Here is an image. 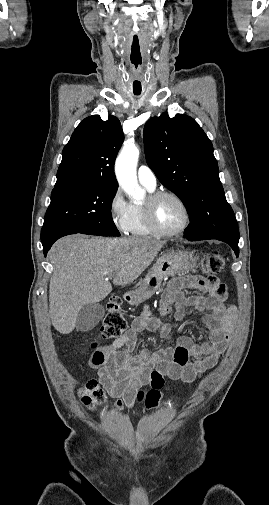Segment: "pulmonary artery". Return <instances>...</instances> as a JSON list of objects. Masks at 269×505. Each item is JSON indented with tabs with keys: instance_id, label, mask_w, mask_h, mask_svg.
I'll list each match as a JSON object with an SVG mask.
<instances>
[{
	"instance_id": "pulmonary-artery-1",
	"label": "pulmonary artery",
	"mask_w": 269,
	"mask_h": 505,
	"mask_svg": "<svg viewBox=\"0 0 269 505\" xmlns=\"http://www.w3.org/2000/svg\"><path fill=\"white\" fill-rule=\"evenodd\" d=\"M137 177H138L139 182L142 185H144L148 188H155L156 187V183H157L156 176H155L154 172L151 170V168H149L148 166L141 165L138 168Z\"/></svg>"
}]
</instances>
